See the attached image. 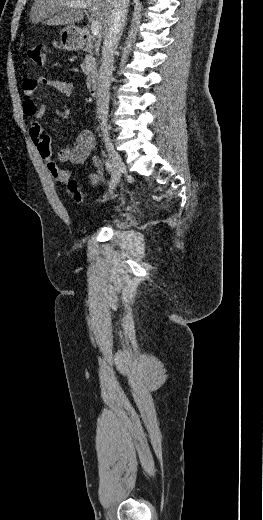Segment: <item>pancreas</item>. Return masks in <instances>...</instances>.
I'll use <instances>...</instances> for the list:
<instances>
[{"mask_svg":"<svg viewBox=\"0 0 263 520\" xmlns=\"http://www.w3.org/2000/svg\"><path fill=\"white\" fill-rule=\"evenodd\" d=\"M96 60L92 53L86 55L83 64L81 65L84 74H89L95 70Z\"/></svg>","mask_w":263,"mask_h":520,"instance_id":"1","label":"pancreas"}]
</instances>
